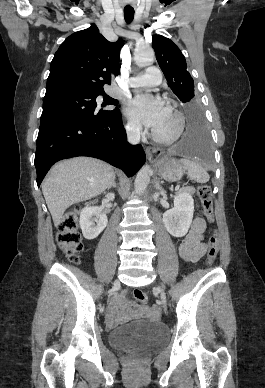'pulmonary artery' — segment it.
Instances as JSON below:
<instances>
[{
  "mask_svg": "<svg viewBox=\"0 0 265 388\" xmlns=\"http://www.w3.org/2000/svg\"><path fill=\"white\" fill-rule=\"evenodd\" d=\"M147 75H132L130 80L134 82L135 86H158L160 84L161 77L158 75V69H155L153 64L146 66ZM139 91L138 89L136 90Z\"/></svg>",
  "mask_w": 265,
  "mask_h": 388,
  "instance_id": "obj_1",
  "label": "pulmonary artery"
}]
</instances>
